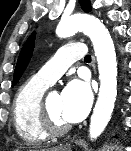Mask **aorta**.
<instances>
[{
	"mask_svg": "<svg viewBox=\"0 0 131 151\" xmlns=\"http://www.w3.org/2000/svg\"><path fill=\"white\" fill-rule=\"evenodd\" d=\"M56 32L60 37L84 32L93 43L98 63L100 88L91 117L89 134L91 139H96L111 119L117 96L118 72L113 40L105 26L98 19L87 14H75L62 19Z\"/></svg>",
	"mask_w": 131,
	"mask_h": 151,
	"instance_id": "1",
	"label": "aorta"
}]
</instances>
